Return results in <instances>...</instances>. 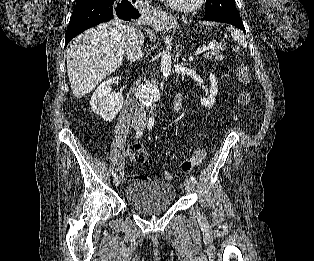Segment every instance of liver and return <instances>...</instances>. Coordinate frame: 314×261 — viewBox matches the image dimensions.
<instances>
[{
	"instance_id": "6515ba94",
	"label": "liver",
	"mask_w": 314,
	"mask_h": 261,
	"mask_svg": "<svg viewBox=\"0 0 314 261\" xmlns=\"http://www.w3.org/2000/svg\"><path fill=\"white\" fill-rule=\"evenodd\" d=\"M128 30L120 21L113 20L76 37L67 51V72L76 98L90 93L120 67Z\"/></svg>"
}]
</instances>
